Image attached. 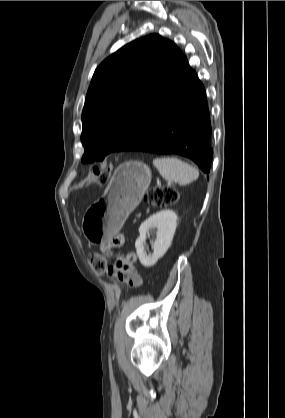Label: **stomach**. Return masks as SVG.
Instances as JSON below:
<instances>
[{
	"instance_id": "obj_1",
	"label": "stomach",
	"mask_w": 285,
	"mask_h": 418,
	"mask_svg": "<svg viewBox=\"0 0 285 418\" xmlns=\"http://www.w3.org/2000/svg\"><path fill=\"white\" fill-rule=\"evenodd\" d=\"M151 177L143 162L128 161L117 167L103 197L83 217L82 231L88 241L103 243L121 229L141 202Z\"/></svg>"
}]
</instances>
